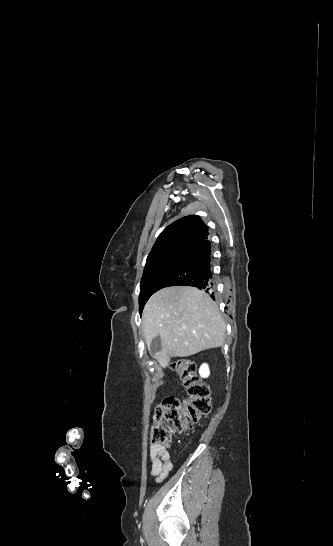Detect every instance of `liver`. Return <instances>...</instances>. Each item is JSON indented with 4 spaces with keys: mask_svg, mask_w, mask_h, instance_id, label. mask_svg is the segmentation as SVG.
<instances>
[{
    "mask_svg": "<svg viewBox=\"0 0 333 546\" xmlns=\"http://www.w3.org/2000/svg\"><path fill=\"white\" fill-rule=\"evenodd\" d=\"M146 345L157 336L161 366L171 357H188L224 344L226 325L211 297L195 287L173 286L154 293L142 314ZM151 353V352H150Z\"/></svg>",
    "mask_w": 333,
    "mask_h": 546,
    "instance_id": "6515ba94",
    "label": "liver"
}]
</instances>
